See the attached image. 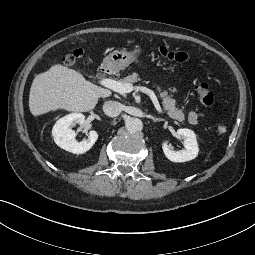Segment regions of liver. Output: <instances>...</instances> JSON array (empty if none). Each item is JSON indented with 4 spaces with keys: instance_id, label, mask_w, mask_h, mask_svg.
Returning a JSON list of instances; mask_svg holds the SVG:
<instances>
[{
    "instance_id": "liver-1",
    "label": "liver",
    "mask_w": 255,
    "mask_h": 255,
    "mask_svg": "<svg viewBox=\"0 0 255 255\" xmlns=\"http://www.w3.org/2000/svg\"><path fill=\"white\" fill-rule=\"evenodd\" d=\"M109 96L110 90L85 80L73 69L56 64L34 78L29 94V109L33 116L58 109L87 112L95 108L99 98Z\"/></svg>"
}]
</instances>
